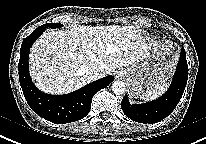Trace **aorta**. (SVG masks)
<instances>
[{"mask_svg": "<svg viewBox=\"0 0 206 144\" xmlns=\"http://www.w3.org/2000/svg\"><path fill=\"white\" fill-rule=\"evenodd\" d=\"M111 88L116 95H122L126 91L125 84L122 81H114Z\"/></svg>", "mask_w": 206, "mask_h": 144, "instance_id": "762f6f07", "label": "aorta"}]
</instances>
